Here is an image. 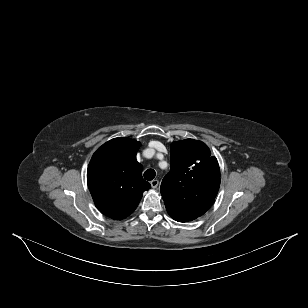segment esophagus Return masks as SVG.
<instances>
[{
    "label": "esophagus",
    "mask_w": 308,
    "mask_h": 308,
    "mask_svg": "<svg viewBox=\"0 0 308 308\" xmlns=\"http://www.w3.org/2000/svg\"><path fill=\"white\" fill-rule=\"evenodd\" d=\"M150 184L152 188H157L159 185V181L157 179H154L150 182Z\"/></svg>",
    "instance_id": "34e87169"
}]
</instances>
